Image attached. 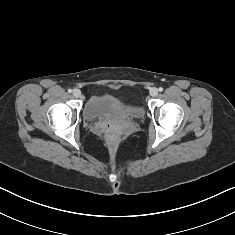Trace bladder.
<instances>
[{
  "mask_svg": "<svg viewBox=\"0 0 235 235\" xmlns=\"http://www.w3.org/2000/svg\"><path fill=\"white\" fill-rule=\"evenodd\" d=\"M142 115L140 103L124 100L111 92L92 94L84 107L85 118L92 121L124 120Z\"/></svg>",
  "mask_w": 235,
  "mask_h": 235,
  "instance_id": "31cf9c89",
  "label": "bladder"
}]
</instances>
